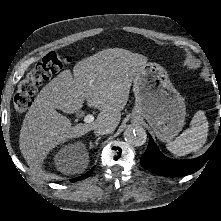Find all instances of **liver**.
<instances>
[{
    "mask_svg": "<svg viewBox=\"0 0 221 221\" xmlns=\"http://www.w3.org/2000/svg\"><path fill=\"white\" fill-rule=\"evenodd\" d=\"M147 58L122 48H108L75 64L73 75L64 70L53 78L28 109L19 135L21 153L32 173L42 179L57 176L42 166L48 153L69 139L80 137L97 125L114 129L127 104L131 82ZM85 100L100 110L94 122L72 126L64 113L78 112Z\"/></svg>",
    "mask_w": 221,
    "mask_h": 221,
    "instance_id": "6515ba94",
    "label": "liver"
}]
</instances>
